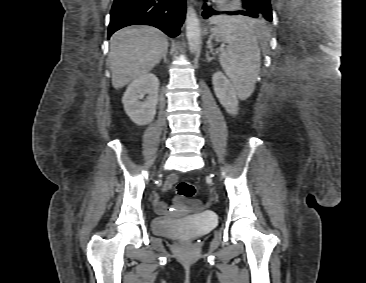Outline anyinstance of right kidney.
<instances>
[{
    "instance_id": "obj_1",
    "label": "right kidney",
    "mask_w": 366,
    "mask_h": 283,
    "mask_svg": "<svg viewBox=\"0 0 366 283\" xmlns=\"http://www.w3.org/2000/svg\"><path fill=\"white\" fill-rule=\"evenodd\" d=\"M159 80L153 73L144 74L127 87L122 103L126 114L137 125L149 124L156 114L159 101ZM147 98L141 101L144 95Z\"/></svg>"
}]
</instances>
